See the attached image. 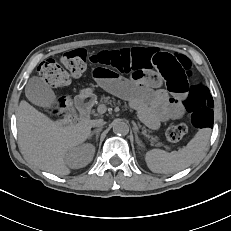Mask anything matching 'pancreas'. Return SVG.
Instances as JSON below:
<instances>
[{"label":"pancreas","instance_id":"1","mask_svg":"<svg viewBox=\"0 0 231 231\" xmlns=\"http://www.w3.org/2000/svg\"><path fill=\"white\" fill-rule=\"evenodd\" d=\"M100 101L104 104H110L115 105L116 101L114 98H111L109 96H102ZM119 103V102H118ZM143 135L150 140L152 143L157 142V137L152 135V131L150 129H147L145 126H141ZM157 146H160V143L157 144Z\"/></svg>","mask_w":231,"mask_h":231}]
</instances>
